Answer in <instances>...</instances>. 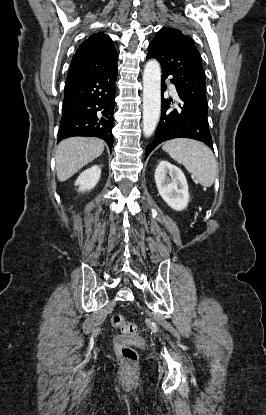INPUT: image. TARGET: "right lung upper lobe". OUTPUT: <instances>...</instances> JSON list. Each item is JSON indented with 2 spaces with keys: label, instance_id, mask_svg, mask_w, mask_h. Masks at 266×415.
Listing matches in <instances>:
<instances>
[{
  "label": "right lung upper lobe",
  "instance_id": "right-lung-upper-lobe-1",
  "mask_svg": "<svg viewBox=\"0 0 266 415\" xmlns=\"http://www.w3.org/2000/svg\"><path fill=\"white\" fill-rule=\"evenodd\" d=\"M117 59L111 38L100 32L93 33L73 56L66 82L108 72L117 66Z\"/></svg>",
  "mask_w": 266,
  "mask_h": 415
}]
</instances>
